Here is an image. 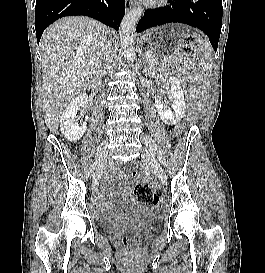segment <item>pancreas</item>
Masks as SVG:
<instances>
[{
  "instance_id": "pancreas-1",
  "label": "pancreas",
  "mask_w": 265,
  "mask_h": 273,
  "mask_svg": "<svg viewBox=\"0 0 265 273\" xmlns=\"http://www.w3.org/2000/svg\"><path fill=\"white\" fill-rule=\"evenodd\" d=\"M161 63L162 65H174L177 61L171 57H165L163 60L158 57L153 56L151 60H149V64L153 63Z\"/></svg>"
}]
</instances>
